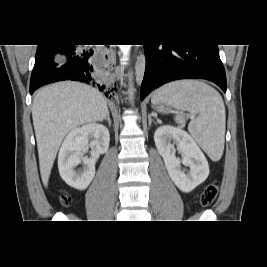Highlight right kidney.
<instances>
[{"label": "right kidney", "instance_id": "1", "mask_svg": "<svg viewBox=\"0 0 267 267\" xmlns=\"http://www.w3.org/2000/svg\"><path fill=\"white\" fill-rule=\"evenodd\" d=\"M108 129L97 123H89L72 130L65 138L58 155V169L62 179L71 187L84 190L95 176V164L100 154L109 148ZM91 147V157H81ZM83 164L82 170L75 168Z\"/></svg>", "mask_w": 267, "mask_h": 267}]
</instances>
